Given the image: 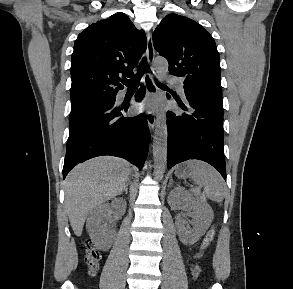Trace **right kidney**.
I'll use <instances>...</instances> for the list:
<instances>
[{
    "label": "right kidney",
    "instance_id": "ca27d5eb",
    "mask_svg": "<svg viewBox=\"0 0 293 289\" xmlns=\"http://www.w3.org/2000/svg\"><path fill=\"white\" fill-rule=\"evenodd\" d=\"M126 209V202L122 199H114L111 204L106 203L96 207L87 219V229L90 238L101 248H106L110 244L112 231L103 224L104 219L112 214L113 210L119 213Z\"/></svg>",
    "mask_w": 293,
    "mask_h": 289
}]
</instances>
